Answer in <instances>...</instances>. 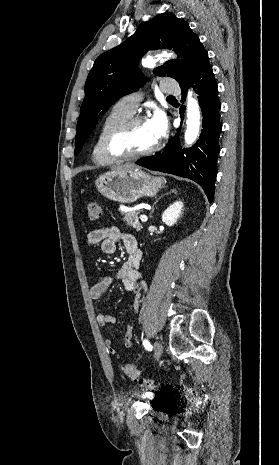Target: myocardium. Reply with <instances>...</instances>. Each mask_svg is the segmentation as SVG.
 Returning <instances> with one entry per match:
<instances>
[{"instance_id":"1","label":"myocardium","mask_w":279,"mask_h":465,"mask_svg":"<svg viewBox=\"0 0 279 465\" xmlns=\"http://www.w3.org/2000/svg\"><path fill=\"white\" fill-rule=\"evenodd\" d=\"M146 122L143 116H132L125 121L114 126L105 136L103 141V152L109 159L113 161H124L140 159L152 155L158 148L159 143L156 142L147 150L142 152L130 153L125 151H118L115 147L119 138L124 136L134 125Z\"/></svg>"}]
</instances>
